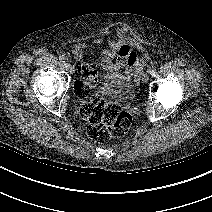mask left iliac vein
I'll return each instance as SVG.
<instances>
[{"label":"left iliac vein","mask_w":212,"mask_h":212,"mask_svg":"<svg viewBox=\"0 0 212 212\" xmlns=\"http://www.w3.org/2000/svg\"><path fill=\"white\" fill-rule=\"evenodd\" d=\"M149 78H150V73L149 72L144 73L142 76V82L146 83L149 80Z\"/></svg>","instance_id":"1"}]
</instances>
